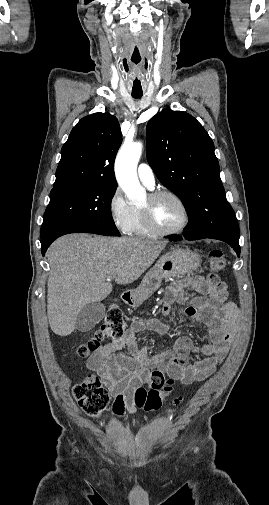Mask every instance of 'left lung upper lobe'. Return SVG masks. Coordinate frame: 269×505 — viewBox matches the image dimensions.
Instances as JSON below:
<instances>
[{
    "instance_id": "obj_1",
    "label": "left lung upper lobe",
    "mask_w": 269,
    "mask_h": 505,
    "mask_svg": "<svg viewBox=\"0 0 269 505\" xmlns=\"http://www.w3.org/2000/svg\"><path fill=\"white\" fill-rule=\"evenodd\" d=\"M146 138L149 165L188 211L184 236L240 237L220 179L213 141L202 125L186 112L166 108L149 120Z\"/></svg>"
}]
</instances>
